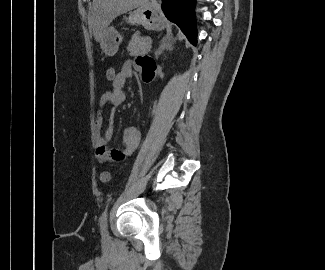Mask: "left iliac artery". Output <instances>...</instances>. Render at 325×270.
Instances as JSON below:
<instances>
[{
    "label": "left iliac artery",
    "mask_w": 325,
    "mask_h": 270,
    "mask_svg": "<svg viewBox=\"0 0 325 270\" xmlns=\"http://www.w3.org/2000/svg\"><path fill=\"white\" fill-rule=\"evenodd\" d=\"M107 216H108V206L103 211L101 217H100V230L103 235H107Z\"/></svg>",
    "instance_id": "1"
}]
</instances>
